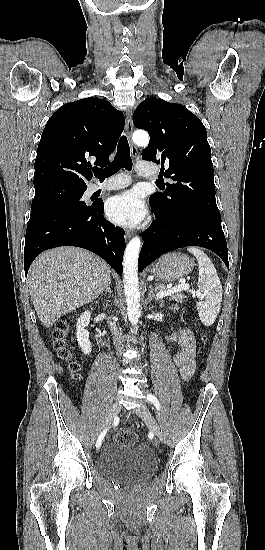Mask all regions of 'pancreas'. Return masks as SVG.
Masks as SVG:
<instances>
[{
    "label": "pancreas",
    "mask_w": 265,
    "mask_h": 550,
    "mask_svg": "<svg viewBox=\"0 0 265 550\" xmlns=\"http://www.w3.org/2000/svg\"><path fill=\"white\" fill-rule=\"evenodd\" d=\"M156 289L159 290V291H166L167 290V288L164 284L156 285ZM169 297H170L171 300H174L178 303H184V301H185L184 299H185L186 296L184 294L180 293V292H176V293H173V294L169 295Z\"/></svg>",
    "instance_id": "cf45deb5"
}]
</instances>
